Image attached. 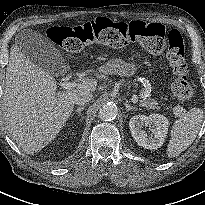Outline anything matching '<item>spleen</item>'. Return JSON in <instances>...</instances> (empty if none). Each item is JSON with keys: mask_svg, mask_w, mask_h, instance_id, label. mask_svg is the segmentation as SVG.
Masks as SVG:
<instances>
[{"mask_svg": "<svg viewBox=\"0 0 205 205\" xmlns=\"http://www.w3.org/2000/svg\"><path fill=\"white\" fill-rule=\"evenodd\" d=\"M203 116L202 109L192 108L174 122L167 148L169 158L178 156L192 144L200 130Z\"/></svg>", "mask_w": 205, "mask_h": 205, "instance_id": "obj_1", "label": "spleen"}]
</instances>
